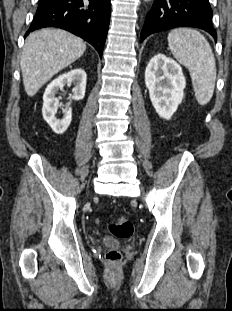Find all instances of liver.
Wrapping results in <instances>:
<instances>
[{
    "label": "liver",
    "mask_w": 232,
    "mask_h": 311,
    "mask_svg": "<svg viewBox=\"0 0 232 311\" xmlns=\"http://www.w3.org/2000/svg\"><path fill=\"white\" fill-rule=\"evenodd\" d=\"M85 49L86 43L81 38L61 29L31 33L20 59L27 95L34 96L56 73L79 59Z\"/></svg>",
    "instance_id": "liver-1"
}]
</instances>
